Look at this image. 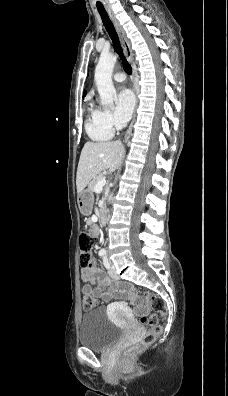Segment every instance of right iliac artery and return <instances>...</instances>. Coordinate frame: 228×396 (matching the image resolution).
<instances>
[{"mask_svg": "<svg viewBox=\"0 0 228 396\" xmlns=\"http://www.w3.org/2000/svg\"><path fill=\"white\" fill-rule=\"evenodd\" d=\"M99 255H100V256H104V255H105V252H104V251H100V252H99Z\"/></svg>", "mask_w": 228, "mask_h": 396, "instance_id": "82829eb1", "label": "right iliac artery"}]
</instances>
